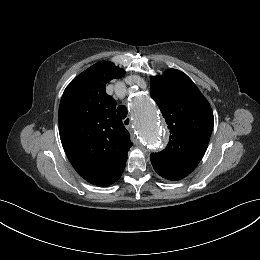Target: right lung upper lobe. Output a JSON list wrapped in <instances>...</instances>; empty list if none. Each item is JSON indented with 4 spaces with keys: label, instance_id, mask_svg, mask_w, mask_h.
<instances>
[{
    "label": "right lung upper lobe",
    "instance_id": "obj_1",
    "mask_svg": "<svg viewBox=\"0 0 260 260\" xmlns=\"http://www.w3.org/2000/svg\"><path fill=\"white\" fill-rule=\"evenodd\" d=\"M125 74L100 61L79 74L65 89L59 106V133L65 153L77 173L97 186L116 182L132 146L116 116V101L106 84Z\"/></svg>",
    "mask_w": 260,
    "mask_h": 260
}]
</instances>
